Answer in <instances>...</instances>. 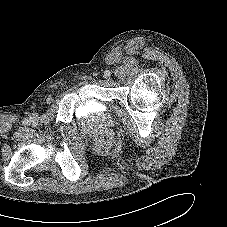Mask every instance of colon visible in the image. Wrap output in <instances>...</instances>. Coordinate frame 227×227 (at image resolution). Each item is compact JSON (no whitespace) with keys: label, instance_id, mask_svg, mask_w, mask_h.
Listing matches in <instances>:
<instances>
[{"label":"colon","instance_id":"colon-1","mask_svg":"<svg viewBox=\"0 0 227 227\" xmlns=\"http://www.w3.org/2000/svg\"><path fill=\"white\" fill-rule=\"evenodd\" d=\"M114 143V138L108 133H101L97 138V145L102 149H107Z\"/></svg>","mask_w":227,"mask_h":227}]
</instances>
